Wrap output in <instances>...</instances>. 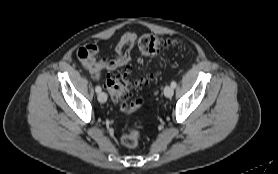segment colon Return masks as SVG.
<instances>
[{"label": "colon", "mask_w": 278, "mask_h": 174, "mask_svg": "<svg viewBox=\"0 0 278 174\" xmlns=\"http://www.w3.org/2000/svg\"><path fill=\"white\" fill-rule=\"evenodd\" d=\"M138 45L143 55L153 57L161 47L178 46L179 42L152 34H145L139 39ZM130 72V68H126L123 72L109 74L106 80V87L113 101L126 112L137 111L142 107V99H137L133 102H128V99L148 83V79L146 78L131 80L129 77ZM139 122V119L135 121L122 136L121 142L124 146L132 148L138 144L140 137L138 130Z\"/></svg>", "instance_id": "5ec220e1"}]
</instances>
